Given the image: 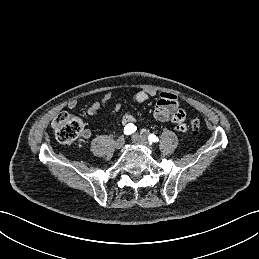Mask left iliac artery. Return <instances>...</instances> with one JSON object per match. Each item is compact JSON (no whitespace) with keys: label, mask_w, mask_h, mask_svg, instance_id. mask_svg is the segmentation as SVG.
Masks as SVG:
<instances>
[{"label":"left iliac artery","mask_w":259,"mask_h":259,"mask_svg":"<svg viewBox=\"0 0 259 259\" xmlns=\"http://www.w3.org/2000/svg\"><path fill=\"white\" fill-rule=\"evenodd\" d=\"M148 141L150 144L154 143V142H158L159 138L156 137L154 134H149L148 135Z\"/></svg>","instance_id":"1"}]
</instances>
